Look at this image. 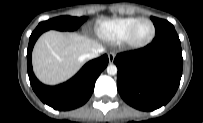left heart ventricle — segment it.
Returning a JSON list of instances; mask_svg holds the SVG:
<instances>
[{
  "instance_id": "left-heart-ventricle-1",
  "label": "left heart ventricle",
  "mask_w": 203,
  "mask_h": 123,
  "mask_svg": "<svg viewBox=\"0 0 203 123\" xmlns=\"http://www.w3.org/2000/svg\"><path fill=\"white\" fill-rule=\"evenodd\" d=\"M152 30V25L149 22H144L138 27L135 37L139 41L146 40L151 36Z\"/></svg>"
}]
</instances>
